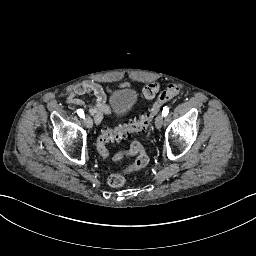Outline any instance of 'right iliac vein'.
Here are the masks:
<instances>
[{"mask_svg": "<svg viewBox=\"0 0 256 256\" xmlns=\"http://www.w3.org/2000/svg\"><path fill=\"white\" fill-rule=\"evenodd\" d=\"M84 124L89 129H91L93 127V120L91 119L90 116L87 115L86 117H84Z\"/></svg>", "mask_w": 256, "mask_h": 256, "instance_id": "63e3f726", "label": "right iliac vein"}]
</instances>
